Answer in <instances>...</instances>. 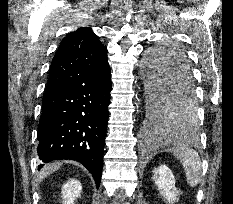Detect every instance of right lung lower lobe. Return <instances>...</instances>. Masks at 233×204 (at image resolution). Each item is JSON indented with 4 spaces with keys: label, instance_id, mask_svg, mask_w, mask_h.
I'll list each match as a JSON object with an SVG mask.
<instances>
[{
    "label": "right lung lower lobe",
    "instance_id": "right-lung-lower-lobe-1",
    "mask_svg": "<svg viewBox=\"0 0 233 204\" xmlns=\"http://www.w3.org/2000/svg\"><path fill=\"white\" fill-rule=\"evenodd\" d=\"M110 90L111 72L107 64L81 72L68 83L46 91L41 116L46 124L38 131L40 160H77L92 173L98 188Z\"/></svg>",
    "mask_w": 233,
    "mask_h": 204
}]
</instances>
